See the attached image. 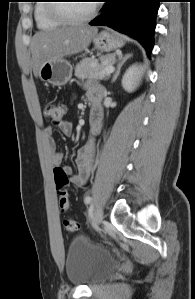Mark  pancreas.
I'll use <instances>...</instances> for the list:
<instances>
[{
    "instance_id": "pancreas-1",
    "label": "pancreas",
    "mask_w": 195,
    "mask_h": 299,
    "mask_svg": "<svg viewBox=\"0 0 195 299\" xmlns=\"http://www.w3.org/2000/svg\"><path fill=\"white\" fill-rule=\"evenodd\" d=\"M101 64L94 57H87L82 59L75 68V76L79 79H107L109 74L100 75V72L108 67L112 66L115 61V55L102 56L100 58Z\"/></svg>"
}]
</instances>
